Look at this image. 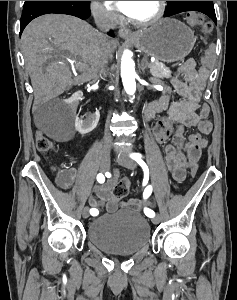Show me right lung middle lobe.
<instances>
[{"mask_svg": "<svg viewBox=\"0 0 237 300\" xmlns=\"http://www.w3.org/2000/svg\"><path fill=\"white\" fill-rule=\"evenodd\" d=\"M54 2H61V1H25L24 6H23V13L27 12L31 9H34L38 6L49 4V3H54Z\"/></svg>", "mask_w": 237, "mask_h": 300, "instance_id": "obj_1", "label": "right lung middle lobe"}]
</instances>
